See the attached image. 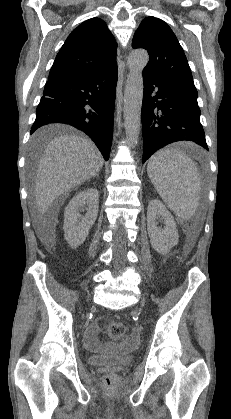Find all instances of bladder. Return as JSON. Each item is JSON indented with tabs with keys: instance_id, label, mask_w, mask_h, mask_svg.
Listing matches in <instances>:
<instances>
[{
	"instance_id": "31cf9c89",
	"label": "bladder",
	"mask_w": 231,
	"mask_h": 419,
	"mask_svg": "<svg viewBox=\"0 0 231 419\" xmlns=\"http://www.w3.org/2000/svg\"><path fill=\"white\" fill-rule=\"evenodd\" d=\"M90 366H125L134 362L133 355L111 353V354H90L87 358Z\"/></svg>"
}]
</instances>
